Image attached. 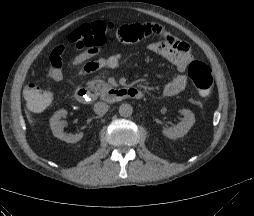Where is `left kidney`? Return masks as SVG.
<instances>
[{"label":"left kidney","mask_w":254,"mask_h":216,"mask_svg":"<svg viewBox=\"0 0 254 216\" xmlns=\"http://www.w3.org/2000/svg\"><path fill=\"white\" fill-rule=\"evenodd\" d=\"M181 113L184 116L181 122H179L174 128H167L162 131L163 134L169 139H177L183 137L188 133V131L195 123V116L190 110L182 109Z\"/></svg>","instance_id":"5707ae66"}]
</instances>
